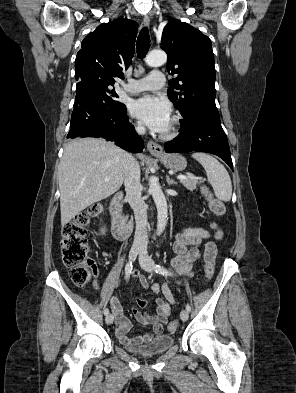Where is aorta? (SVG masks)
Instances as JSON below:
<instances>
[{"instance_id": "aorta-1", "label": "aorta", "mask_w": 296, "mask_h": 393, "mask_svg": "<svg viewBox=\"0 0 296 393\" xmlns=\"http://www.w3.org/2000/svg\"><path fill=\"white\" fill-rule=\"evenodd\" d=\"M166 61L167 55L164 51L161 50H153L146 57V63L151 67H159ZM149 191L157 208V232L161 233L167 223L168 208L165 195L158 180L155 177L150 178Z\"/></svg>"}]
</instances>
